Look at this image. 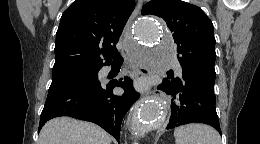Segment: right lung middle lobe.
Instances as JSON below:
<instances>
[{"label":"right lung middle lobe","instance_id":"dd1d6c3e","mask_svg":"<svg viewBox=\"0 0 260 144\" xmlns=\"http://www.w3.org/2000/svg\"><path fill=\"white\" fill-rule=\"evenodd\" d=\"M101 67H72L52 71V85L68 81H90L98 78V71Z\"/></svg>","mask_w":260,"mask_h":144}]
</instances>
